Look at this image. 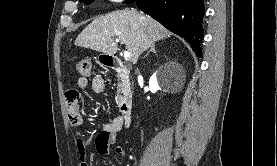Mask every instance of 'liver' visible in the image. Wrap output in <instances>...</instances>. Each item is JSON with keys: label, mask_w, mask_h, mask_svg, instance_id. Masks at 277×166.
Returning a JSON list of instances; mask_svg holds the SVG:
<instances>
[{"label": "liver", "mask_w": 277, "mask_h": 166, "mask_svg": "<svg viewBox=\"0 0 277 166\" xmlns=\"http://www.w3.org/2000/svg\"><path fill=\"white\" fill-rule=\"evenodd\" d=\"M170 37L160 23L134 9L116 10L94 19L75 40V45L113 56L119 39L131 53L135 64L155 42Z\"/></svg>", "instance_id": "obj_1"}]
</instances>
